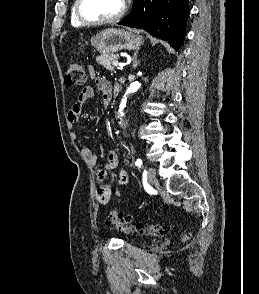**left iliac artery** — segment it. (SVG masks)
I'll return each instance as SVG.
<instances>
[{
	"mask_svg": "<svg viewBox=\"0 0 259 294\" xmlns=\"http://www.w3.org/2000/svg\"><path fill=\"white\" fill-rule=\"evenodd\" d=\"M135 165L139 168H141L142 166V160L141 159H137L136 162H135Z\"/></svg>",
	"mask_w": 259,
	"mask_h": 294,
	"instance_id": "obj_1",
	"label": "left iliac artery"
}]
</instances>
